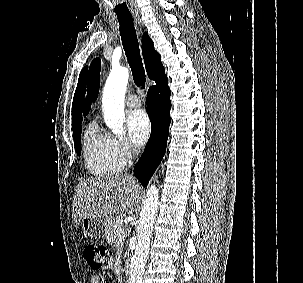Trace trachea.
Returning <instances> with one entry per match:
<instances>
[{"label":"trachea","instance_id":"3493384b","mask_svg":"<svg viewBox=\"0 0 303 283\" xmlns=\"http://www.w3.org/2000/svg\"><path fill=\"white\" fill-rule=\"evenodd\" d=\"M120 35L125 54L137 87L144 89L146 82L145 70L140 55L139 44L131 16L118 15Z\"/></svg>","mask_w":303,"mask_h":283}]
</instances>
